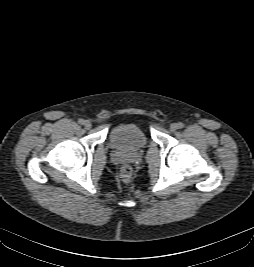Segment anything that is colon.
Returning <instances> with one entry per match:
<instances>
[{"mask_svg":"<svg viewBox=\"0 0 254 267\" xmlns=\"http://www.w3.org/2000/svg\"><path fill=\"white\" fill-rule=\"evenodd\" d=\"M121 173L124 178H129L131 176L132 170L129 166H124L121 170Z\"/></svg>","mask_w":254,"mask_h":267,"instance_id":"5ec220e1","label":"colon"}]
</instances>
